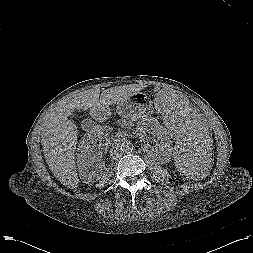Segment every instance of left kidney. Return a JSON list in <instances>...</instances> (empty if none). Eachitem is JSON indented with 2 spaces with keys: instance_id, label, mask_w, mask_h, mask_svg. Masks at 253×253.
Here are the masks:
<instances>
[{
  "instance_id": "obj_1",
  "label": "left kidney",
  "mask_w": 253,
  "mask_h": 253,
  "mask_svg": "<svg viewBox=\"0 0 253 253\" xmlns=\"http://www.w3.org/2000/svg\"><path fill=\"white\" fill-rule=\"evenodd\" d=\"M155 137L156 145L148 144V134ZM137 134L140 140L144 143L145 149L150 153L158 156H170L171 154V140L167 129L162 126L155 118H147L137 126Z\"/></svg>"
}]
</instances>
